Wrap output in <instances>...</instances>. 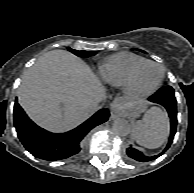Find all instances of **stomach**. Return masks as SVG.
<instances>
[{
    "mask_svg": "<svg viewBox=\"0 0 194 193\" xmlns=\"http://www.w3.org/2000/svg\"><path fill=\"white\" fill-rule=\"evenodd\" d=\"M146 108V105L142 101L131 102L129 104L124 103L122 105V111L124 114L130 117H136Z\"/></svg>",
    "mask_w": 194,
    "mask_h": 193,
    "instance_id": "obj_1",
    "label": "stomach"
}]
</instances>
